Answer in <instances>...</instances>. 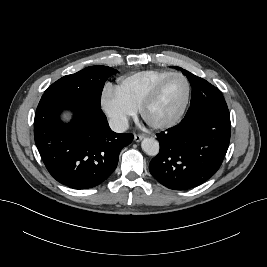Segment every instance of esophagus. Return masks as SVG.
<instances>
[{"mask_svg":"<svg viewBox=\"0 0 267 267\" xmlns=\"http://www.w3.org/2000/svg\"><path fill=\"white\" fill-rule=\"evenodd\" d=\"M144 138V134H135L134 135V140L136 142H140Z\"/></svg>","mask_w":267,"mask_h":267,"instance_id":"esophagus-1","label":"esophagus"}]
</instances>
